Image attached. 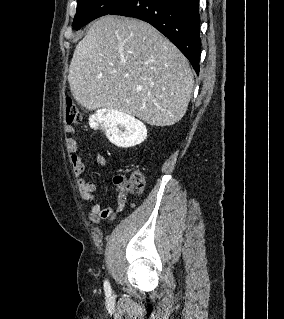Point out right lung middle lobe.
I'll list each match as a JSON object with an SVG mask.
<instances>
[{
	"label": "right lung middle lobe",
	"instance_id": "obj_1",
	"mask_svg": "<svg viewBox=\"0 0 284 319\" xmlns=\"http://www.w3.org/2000/svg\"><path fill=\"white\" fill-rule=\"evenodd\" d=\"M130 0H77V12L73 27L79 30L90 21L110 14Z\"/></svg>",
	"mask_w": 284,
	"mask_h": 319
}]
</instances>
